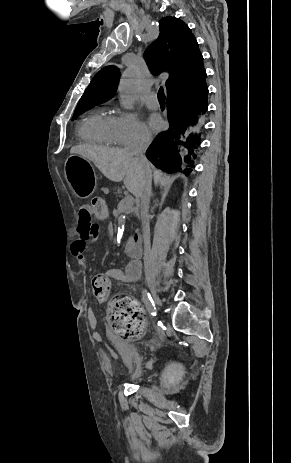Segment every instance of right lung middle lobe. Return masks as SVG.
Here are the masks:
<instances>
[{
    "label": "right lung middle lobe",
    "mask_w": 291,
    "mask_h": 463,
    "mask_svg": "<svg viewBox=\"0 0 291 463\" xmlns=\"http://www.w3.org/2000/svg\"><path fill=\"white\" fill-rule=\"evenodd\" d=\"M93 104H81V105H78L75 109V112H74V115L73 117H76L77 115H79L80 113H82L84 110L88 109L89 107H91Z\"/></svg>",
    "instance_id": "obj_1"
}]
</instances>
